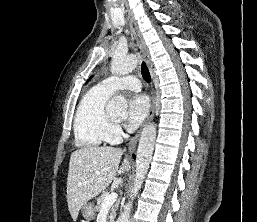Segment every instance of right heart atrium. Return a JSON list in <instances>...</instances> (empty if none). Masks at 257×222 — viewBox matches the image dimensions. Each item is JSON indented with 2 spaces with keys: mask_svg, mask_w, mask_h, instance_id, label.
Returning <instances> with one entry per match:
<instances>
[{
  "mask_svg": "<svg viewBox=\"0 0 257 222\" xmlns=\"http://www.w3.org/2000/svg\"><path fill=\"white\" fill-rule=\"evenodd\" d=\"M123 136L122 129L117 124H111L109 128V141L116 142Z\"/></svg>",
  "mask_w": 257,
  "mask_h": 222,
  "instance_id": "1",
  "label": "right heart atrium"
}]
</instances>
